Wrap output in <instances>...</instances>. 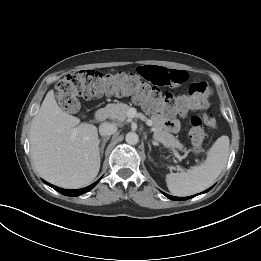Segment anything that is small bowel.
Listing matches in <instances>:
<instances>
[{
    "label": "small bowel",
    "mask_w": 261,
    "mask_h": 261,
    "mask_svg": "<svg viewBox=\"0 0 261 261\" xmlns=\"http://www.w3.org/2000/svg\"><path fill=\"white\" fill-rule=\"evenodd\" d=\"M139 72L146 80L161 86H177L188 79V74L184 70L168 69L161 66H142L139 68ZM153 120L169 132L175 133L180 129V124L176 119L155 114Z\"/></svg>",
    "instance_id": "1"
}]
</instances>
